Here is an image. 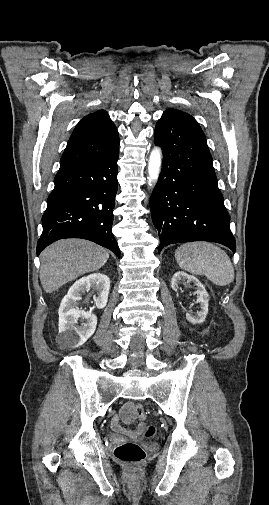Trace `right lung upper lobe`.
Returning <instances> with one entry per match:
<instances>
[{
    "label": "right lung upper lobe",
    "mask_w": 269,
    "mask_h": 505,
    "mask_svg": "<svg viewBox=\"0 0 269 505\" xmlns=\"http://www.w3.org/2000/svg\"><path fill=\"white\" fill-rule=\"evenodd\" d=\"M119 143L118 131L108 113L99 110L75 127L60 160V168L94 158Z\"/></svg>",
    "instance_id": "1"
}]
</instances>
